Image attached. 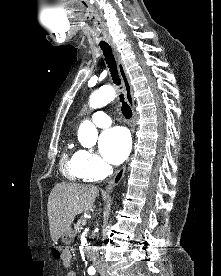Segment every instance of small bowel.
I'll return each mask as SVG.
<instances>
[{
    "mask_svg": "<svg viewBox=\"0 0 221 276\" xmlns=\"http://www.w3.org/2000/svg\"><path fill=\"white\" fill-rule=\"evenodd\" d=\"M72 255L69 250H65L62 255V262L64 266L68 269L66 276H77L75 271L70 269Z\"/></svg>",
    "mask_w": 221,
    "mask_h": 276,
    "instance_id": "1",
    "label": "small bowel"
}]
</instances>
